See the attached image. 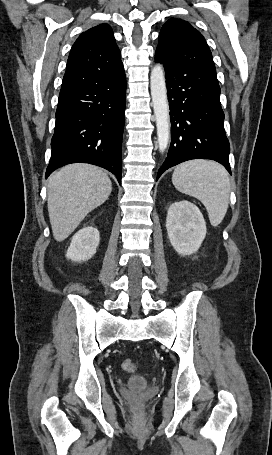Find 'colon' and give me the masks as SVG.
<instances>
[{
	"instance_id": "5ec220e1",
	"label": "colon",
	"mask_w": 272,
	"mask_h": 455,
	"mask_svg": "<svg viewBox=\"0 0 272 455\" xmlns=\"http://www.w3.org/2000/svg\"><path fill=\"white\" fill-rule=\"evenodd\" d=\"M122 367L127 372H135L138 369L137 363L131 359L124 360Z\"/></svg>"
}]
</instances>
